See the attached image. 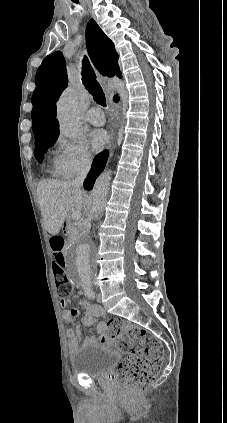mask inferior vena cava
I'll list each match as a JSON object with an SVG mask.
<instances>
[{
	"instance_id": "inferior-vena-cava-1",
	"label": "inferior vena cava",
	"mask_w": 227,
	"mask_h": 423,
	"mask_svg": "<svg viewBox=\"0 0 227 423\" xmlns=\"http://www.w3.org/2000/svg\"><path fill=\"white\" fill-rule=\"evenodd\" d=\"M91 164H92V158L90 156V154H86V156H84L78 170H77V176L75 178V180H72L71 182V186L72 188H75V190H81L82 186H83V182L91 168Z\"/></svg>"
}]
</instances>
